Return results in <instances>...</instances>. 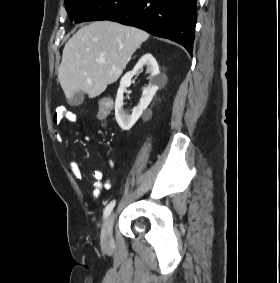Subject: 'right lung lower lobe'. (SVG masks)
<instances>
[{
  "label": "right lung lower lobe",
  "instance_id": "1",
  "mask_svg": "<svg viewBox=\"0 0 280 283\" xmlns=\"http://www.w3.org/2000/svg\"><path fill=\"white\" fill-rule=\"evenodd\" d=\"M106 20L170 39L191 53L195 39L197 0H132Z\"/></svg>",
  "mask_w": 280,
  "mask_h": 283
}]
</instances>
